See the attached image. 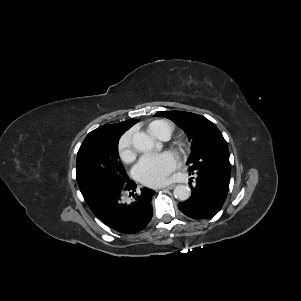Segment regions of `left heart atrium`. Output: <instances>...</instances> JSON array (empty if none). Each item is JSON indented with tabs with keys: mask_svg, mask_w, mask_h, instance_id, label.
<instances>
[{
	"mask_svg": "<svg viewBox=\"0 0 301 301\" xmlns=\"http://www.w3.org/2000/svg\"><path fill=\"white\" fill-rule=\"evenodd\" d=\"M179 166L178 157L172 152L143 156L133 169L134 177L147 186L163 185Z\"/></svg>",
	"mask_w": 301,
	"mask_h": 301,
	"instance_id": "left-heart-atrium-1",
	"label": "left heart atrium"
}]
</instances>
